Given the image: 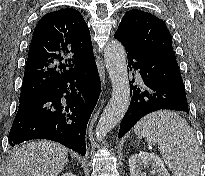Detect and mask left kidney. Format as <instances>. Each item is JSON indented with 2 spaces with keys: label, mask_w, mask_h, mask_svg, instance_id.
<instances>
[{
  "label": "left kidney",
  "mask_w": 205,
  "mask_h": 176,
  "mask_svg": "<svg viewBox=\"0 0 205 176\" xmlns=\"http://www.w3.org/2000/svg\"><path fill=\"white\" fill-rule=\"evenodd\" d=\"M151 166L157 173V176H170L165 168L163 161L154 153L140 151L133 154L129 159L131 176H146L143 168Z\"/></svg>",
  "instance_id": "left-kidney-1"
}]
</instances>
